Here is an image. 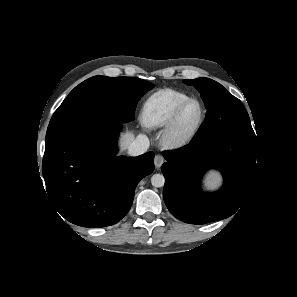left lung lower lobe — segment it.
Instances as JSON below:
<instances>
[{
    "label": "left lung lower lobe",
    "mask_w": 297,
    "mask_h": 297,
    "mask_svg": "<svg viewBox=\"0 0 297 297\" xmlns=\"http://www.w3.org/2000/svg\"><path fill=\"white\" fill-rule=\"evenodd\" d=\"M163 156L167 160L161 167L165 204L177 219L190 224L233 215L246 201L257 169L255 143L234 135L193 138L180 149L164 151ZM211 168L222 173L223 187L198 193L200 179Z\"/></svg>",
    "instance_id": "obj_1"
}]
</instances>
